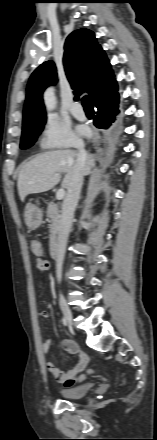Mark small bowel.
I'll use <instances>...</instances> for the list:
<instances>
[{"label": "small bowel", "mask_w": 157, "mask_h": 440, "mask_svg": "<svg viewBox=\"0 0 157 440\" xmlns=\"http://www.w3.org/2000/svg\"><path fill=\"white\" fill-rule=\"evenodd\" d=\"M50 268V264L44 270H48ZM40 317L43 319H47L49 314L46 311H41L39 313ZM52 341L51 339H47L42 344V351L47 354L51 349ZM60 346L67 352L69 356H77L76 363L67 370H61L58 367L54 366L51 363L46 365L49 373L60 383H64L70 379L76 377L80 372H82L87 364V355L79 349L77 343L71 340H63Z\"/></svg>", "instance_id": "1"}]
</instances>
